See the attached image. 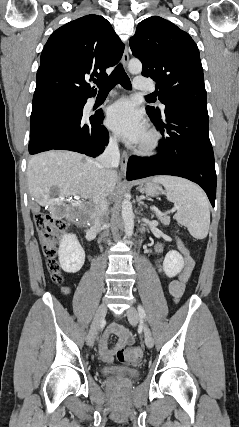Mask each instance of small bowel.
Instances as JSON below:
<instances>
[{
  "label": "small bowel",
  "instance_id": "obj_1",
  "mask_svg": "<svg viewBox=\"0 0 239 427\" xmlns=\"http://www.w3.org/2000/svg\"><path fill=\"white\" fill-rule=\"evenodd\" d=\"M177 248L184 257V268L178 278L170 281L168 284V291L175 301H178L182 296L185 284L194 268V261L188 255L187 250L179 241L177 242ZM112 335L117 336L118 341L112 348H110L107 345V340ZM130 343H132V334L130 331L120 324L113 323L105 330L99 341L98 349L100 358L104 362L111 363L115 353Z\"/></svg>",
  "mask_w": 239,
  "mask_h": 427
}]
</instances>
